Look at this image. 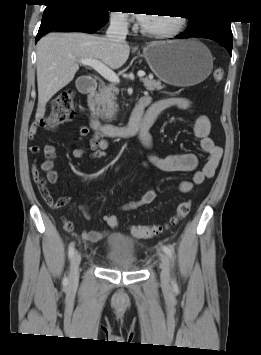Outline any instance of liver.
I'll return each instance as SVG.
<instances>
[{"mask_svg": "<svg viewBox=\"0 0 261 355\" xmlns=\"http://www.w3.org/2000/svg\"><path fill=\"white\" fill-rule=\"evenodd\" d=\"M130 54L124 42L113 44L106 37L85 33H50L37 43L38 106L42 118L47 102L68 85L79 70V59H97L112 69L124 65Z\"/></svg>", "mask_w": 261, "mask_h": 355, "instance_id": "1", "label": "liver"}]
</instances>
